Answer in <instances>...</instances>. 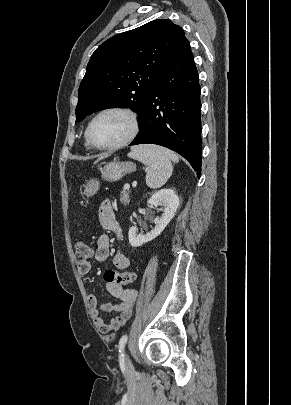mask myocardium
<instances>
[{"label":"myocardium","mask_w":291,"mask_h":405,"mask_svg":"<svg viewBox=\"0 0 291 405\" xmlns=\"http://www.w3.org/2000/svg\"><path fill=\"white\" fill-rule=\"evenodd\" d=\"M107 113H119V114L126 116L130 121V125H131L130 132L124 139H122L121 141H119L113 145L98 146L92 141L91 129H92L94 122L99 117H101L102 115L107 114ZM139 129H140L139 119H138V115L136 114L135 111H133L132 109H130L128 107H123V106H109V107H105V108L101 109L91 118V120L89 121V123L86 127V130H85V139H86L88 146L94 150L114 151V150L121 149V148L127 146L128 144H130L138 135Z\"/></svg>","instance_id":"f54148a6"}]
</instances>
